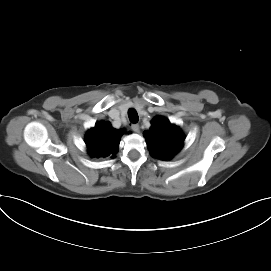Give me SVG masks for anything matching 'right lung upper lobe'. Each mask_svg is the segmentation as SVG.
<instances>
[{"instance_id":"obj_1","label":"right lung upper lobe","mask_w":271,"mask_h":271,"mask_svg":"<svg viewBox=\"0 0 271 271\" xmlns=\"http://www.w3.org/2000/svg\"><path fill=\"white\" fill-rule=\"evenodd\" d=\"M126 131L112 128L109 122H99L94 128L90 129L86 136V145L92 157H107L115 155L121 136Z\"/></svg>"}]
</instances>
